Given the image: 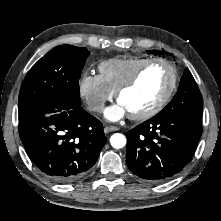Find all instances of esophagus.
I'll use <instances>...</instances> for the list:
<instances>
[{
	"label": "esophagus",
	"mask_w": 221,
	"mask_h": 221,
	"mask_svg": "<svg viewBox=\"0 0 221 221\" xmlns=\"http://www.w3.org/2000/svg\"><path fill=\"white\" fill-rule=\"evenodd\" d=\"M117 130H118V127H116V126H106L104 128L105 133H109V132H113V131H117Z\"/></svg>",
	"instance_id": "obj_1"
}]
</instances>
